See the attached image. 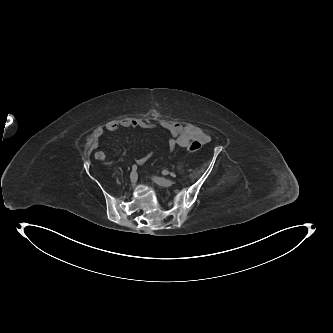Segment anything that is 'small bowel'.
I'll use <instances>...</instances> for the list:
<instances>
[{
  "instance_id": "1",
  "label": "small bowel",
  "mask_w": 333,
  "mask_h": 333,
  "mask_svg": "<svg viewBox=\"0 0 333 333\" xmlns=\"http://www.w3.org/2000/svg\"><path fill=\"white\" fill-rule=\"evenodd\" d=\"M160 127L169 134L168 149L174 151L177 147L186 148L189 150L190 144L193 141H199L202 144H206L210 141V136L205 133L200 127L194 124H182L175 121L163 120L160 122ZM154 127L149 121L143 119L126 118L118 121H110L106 124L105 128L110 131H116L120 128H140L151 129ZM103 135V129L97 128L88 143L91 150H96L99 146L100 138ZM94 157L96 160L105 161L107 155L103 151H95ZM152 153H148L145 156L136 160L137 164L144 165L150 160Z\"/></svg>"
}]
</instances>
